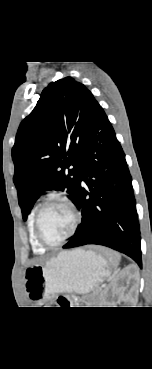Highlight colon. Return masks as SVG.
<instances>
[{
  "label": "colon",
  "instance_id": "1",
  "mask_svg": "<svg viewBox=\"0 0 152 369\" xmlns=\"http://www.w3.org/2000/svg\"><path fill=\"white\" fill-rule=\"evenodd\" d=\"M54 304L58 307H71L73 306L74 302L69 296L60 295Z\"/></svg>",
  "mask_w": 152,
  "mask_h": 369
}]
</instances>
